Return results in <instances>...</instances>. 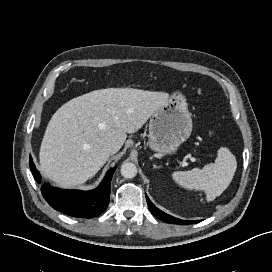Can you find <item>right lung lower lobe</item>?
Here are the masks:
<instances>
[{"label": "right lung lower lobe", "mask_w": 272, "mask_h": 272, "mask_svg": "<svg viewBox=\"0 0 272 272\" xmlns=\"http://www.w3.org/2000/svg\"><path fill=\"white\" fill-rule=\"evenodd\" d=\"M30 169L37 183H40L41 176L36 170L31 157ZM115 169L114 167L108 170L99 187L94 190H62L45 183L41 187V193L50 206L66 215L78 218H92L104 212L108 206L110 182Z\"/></svg>", "instance_id": "1"}]
</instances>
